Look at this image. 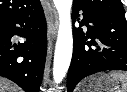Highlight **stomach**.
<instances>
[{
    "instance_id": "stomach-1",
    "label": "stomach",
    "mask_w": 127,
    "mask_h": 92,
    "mask_svg": "<svg viewBox=\"0 0 127 92\" xmlns=\"http://www.w3.org/2000/svg\"><path fill=\"white\" fill-rule=\"evenodd\" d=\"M118 83L109 75L100 74L86 80L82 92H113Z\"/></svg>"
}]
</instances>
